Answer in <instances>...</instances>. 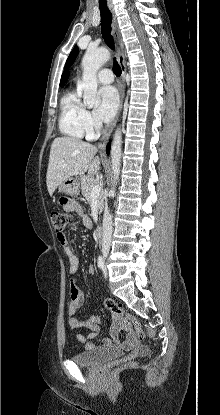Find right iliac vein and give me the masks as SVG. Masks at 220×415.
<instances>
[{
	"mask_svg": "<svg viewBox=\"0 0 220 415\" xmlns=\"http://www.w3.org/2000/svg\"><path fill=\"white\" fill-rule=\"evenodd\" d=\"M107 255H108V253L107 252H104V256L107 257Z\"/></svg>",
	"mask_w": 220,
	"mask_h": 415,
	"instance_id": "obj_1",
	"label": "right iliac vein"
}]
</instances>
